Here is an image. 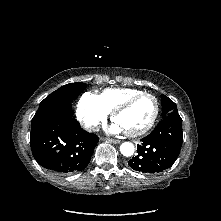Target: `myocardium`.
Segmentation results:
<instances>
[{
	"instance_id": "obj_1",
	"label": "myocardium",
	"mask_w": 221,
	"mask_h": 221,
	"mask_svg": "<svg viewBox=\"0 0 221 221\" xmlns=\"http://www.w3.org/2000/svg\"><path fill=\"white\" fill-rule=\"evenodd\" d=\"M151 97L154 102H155V109H154V113L153 116L151 118V120L149 121V123L144 126L142 129L138 130V131H134V132H126V134L130 137H139L142 136L144 134H146L147 132H149L153 126L155 125L158 117H159V113H160V102L158 100V98L149 92H141L139 94L133 95L127 99H125L124 101H122L119 105H117L113 110H112V114H111V118L115 121L116 117L124 110L128 109L136 100L142 98V97Z\"/></svg>"
}]
</instances>
